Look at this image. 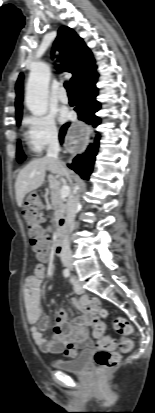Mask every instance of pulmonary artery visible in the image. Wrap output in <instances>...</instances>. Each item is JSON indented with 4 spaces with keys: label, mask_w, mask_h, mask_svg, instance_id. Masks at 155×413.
<instances>
[{
    "label": "pulmonary artery",
    "mask_w": 155,
    "mask_h": 413,
    "mask_svg": "<svg viewBox=\"0 0 155 413\" xmlns=\"http://www.w3.org/2000/svg\"><path fill=\"white\" fill-rule=\"evenodd\" d=\"M58 98L62 103L66 104V103L69 102L68 94H67L66 90L63 87H61L58 91Z\"/></svg>",
    "instance_id": "e3ab8cb5"
}]
</instances>
